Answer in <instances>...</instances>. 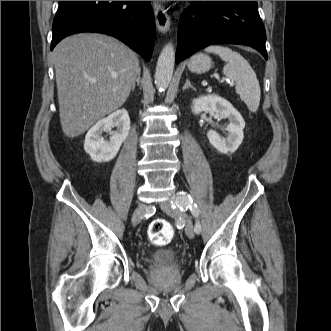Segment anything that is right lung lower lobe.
I'll return each instance as SVG.
<instances>
[{
    "instance_id": "obj_1",
    "label": "right lung lower lobe",
    "mask_w": 331,
    "mask_h": 331,
    "mask_svg": "<svg viewBox=\"0 0 331 331\" xmlns=\"http://www.w3.org/2000/svg\"><path fill=\"white\" fill-rule=\"evenodd\" d=\"M51 50L80 32L111 35L149 60L155 40L150 1H60L53 22Z\"/></svg>"
}]
</instances>
